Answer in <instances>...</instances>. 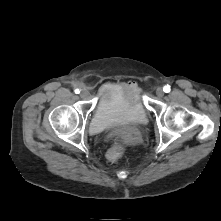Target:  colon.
<instances>
[{
    "label": "colon",
    "mask_w": 221,
    "mask_h": 221,
    "mask_svg": "<svg viewBox=\"0 0 221 221\" xmlns=\"http://www.w3.org/2000/svg\"><path fill=\"white\" fill-rule=\"evenodd\" d=\"M123 151H124L123 145L121 143H119V142H116L109 149L108 154H107L108 158L111 161H116V160H118L121 157V155L123 154Z\"/></svg>",
    "instance_id": "colon-1"
}]
</instances>
